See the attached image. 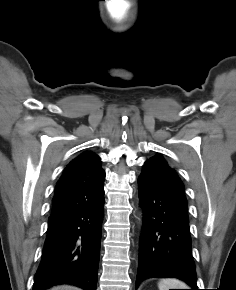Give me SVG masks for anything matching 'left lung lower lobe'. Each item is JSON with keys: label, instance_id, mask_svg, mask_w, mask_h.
I'll return each mask as SVG.
<instances>
[{"label": "left lung lower lobe", "instance_id": "0a47b994", "mask_svg": "<svg viewBox=\"0 0 236 290\" xmlns=\"http://www.w3.org/2000/svg\"><path fill=\"white\" fill-rule=\"evenodd\" d=\"M138 190L143 228L136 288L149 277H176L198 290L185 195L143 177Z\"/></svg>", "mask_w": 236, "mask_h": 290}]
</instances>
